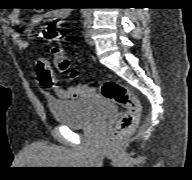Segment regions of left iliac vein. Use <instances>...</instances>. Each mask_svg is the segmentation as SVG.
<instances>
[{"mask_svg":"<svg viewBox=\"0 0 192 180\" xmlns=\"http://www.w3.org/2000/svg\"><path fill=\"white\" fill-rule=\"evenodd\" d=\"M85 40L89 45H94V40L92 38V33H91V30H90V25L89 24L87 25V29H86V32H85Z\"/></svg>","mask_w":192,"mask_h":180,"instance_id":"obj_1","label":"left iliac vein"}]
</instances>
